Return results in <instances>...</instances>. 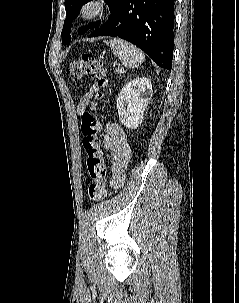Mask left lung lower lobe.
Returning <instances> with one entry per match:
<instances>
[{
  "mask_svg": "<svg viewBox=\"0 0 239 303\" xmlns=\"http://www.w3.org/2000/svg\"><path fill=\"white\" fill-rule=\"evenodd\" d=\"M174 0H122L108 21L89 37L123 38L171 71Z\"/></svg>",
  "mask_w": 239,
  "mask_h": 303,
  "instance_id": "1",
  "label": "left lung lower lobe"
}]
</instances>
